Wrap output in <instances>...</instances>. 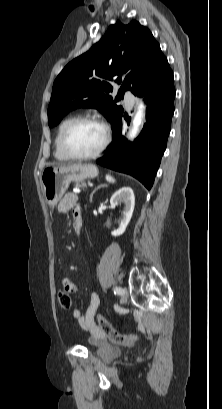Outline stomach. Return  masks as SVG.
Here are the masks:
<instances>
[{"mask_svg": "<svg viewBox=\"0 0 222 409\" xmlns=\"http://www.w3.org/2000/svg\"><path fill=\"white\" fill-rule=\"evenodd\" d=\"M98 169L93 164L73 163L60 167H47L42 171L41 184L46 203L56 206L71 182H83L95 178Z\"/></svg>", "mask_w": 222, "mask_h": 409, "instance_id": "1", "label": "stomach"}]
</instances>
